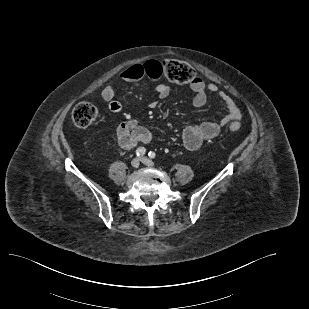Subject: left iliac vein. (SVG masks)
I'll return each instance as SVG.
<instances>
[{"label": "left iliac vein", "mask_w": 309, "mask_h": 309, "mask_svg": "<svg viewBox=\"0 0 309 309\" xmlns=\"http://www.w3.org/2000/svg\"><path fill=\"white\" fill-rule=\"evenodd\" d=\"M141 161H142L143 164H145L146 166H149V167H152L154 165L153 162L150 159H148L147 157H142Z\"/></svg>", "instance_id": "4c4485c4"}]
</instances>
